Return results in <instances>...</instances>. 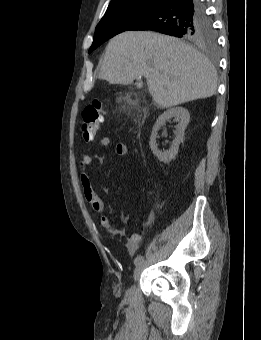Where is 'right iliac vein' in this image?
<instances>
[{"instance_id": "obj_1", "label": "right iliac vein", "mask_w": 261, "mask_h": 340, "mask_svg": "<svg viewBox=\"0 0 261 340\" xmlns=\"http://www.w3.org/2000/svg\"><path fill=\"white\" fill-rule=\"evenodd\" d=\"M149 265V260L145 259L143 260L141 263H139L138 265H136V268L134 269L133 272V279L134 281H136L138 279V277L140 276V274L142 273V271ZM133 286H131L127 291H126V295H125V300H129L130 297L132 296L133 293Z\"/></svg>"}]
</instances>
